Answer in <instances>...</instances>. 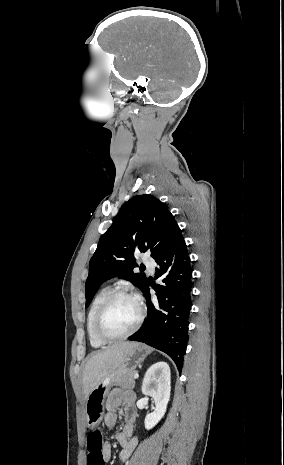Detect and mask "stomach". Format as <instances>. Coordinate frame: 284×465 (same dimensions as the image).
Masks as SVG:
<instances>
[{
  "mask_svg": "<svg viewBox=\"0 0 284 465\" xmlns=\"http://www.w3.org/2000/svg\"><path fill=\"white\" fill-rule=\"evenodd\" d=\"M150 353V347L137 343L136 347H133L126 357H124V361L118 369L111 371L109 375H105V377L100 379L99 383H97L96 387L92 389L84 401L86 427L88 429H95V427L100 425L104 417L106 397H108L111 387L116 383L118 375H127V373L134 371L137 365L143 363Z\"/></svg>",
  "mask_w": 284,
  "mask_h": 465,
  "instance_id": "stomach-1",
  "label": "stomach"
}]
</instances>
